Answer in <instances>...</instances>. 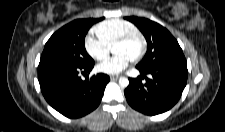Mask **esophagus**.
Instances as JSON below:
<instances>
[{"mask_svg": "<svg viewBox=\"0 0 225 132\" xmlns=\"http://www.w3.org/2000/svg\"><path fill=\"white\" fill-rule=\"evenodd\" d=\"M119 78H120V76H118V75H117V76H111V77H110L111 80H117V79H119Z\"/></svg>", "mask_w": 225, "mask_h": 132, "instance_id": "obj_1", "label": "esophagus"}]
</instances>
